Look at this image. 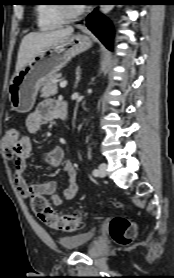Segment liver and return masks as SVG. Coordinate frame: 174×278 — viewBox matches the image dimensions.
<instances>
[{"label": "liver", "mask_w": 174, "mask_h": 278, "mask_svg": "<svg viewBox=\"0 0 174 278\" xmlns=\"http://www.w3.org/2000/svg\"><path fill=\"white\" fill-rule=\"evenodd\" d=\"M73 31V27H67L46 32H31L24 36L18 51L16 72L29 63L35 55L72 35Z\"/></svg>", "instance_id": "obj_1"}]
</instances>
